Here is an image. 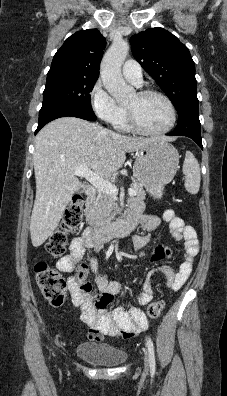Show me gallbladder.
<instances>
[{
    "label": "gallbladder",
    "instance_id": "gallbladder-1",
    "mask_svg": "<svg viewBox=\"0 0 227 396\" xmlns=\"http://www.w3.org/2000/svg\"><path fill=\"white\" fill-rule=\"evenodd\" d=\"M81 190H82V188H79V189H78V192H81Z\"/></svg>",
    "mask_w": 227,
    "mask_h": 396
}]
</instances>
